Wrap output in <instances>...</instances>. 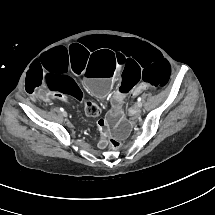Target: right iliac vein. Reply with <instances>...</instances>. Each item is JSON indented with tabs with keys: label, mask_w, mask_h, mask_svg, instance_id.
I'll return each instance as SVG.
<instances>
[{
	"label": "right iliac vein",
	"mask_w": 215,
	"mask_h": 215,
	"mask_svg": "<svg viewBox=\"0 0 215 215\" xmlns=\"http://www.w3.org/2000/svg\"><path fill=\"white\" fill-rule=\"evenodd\" d=\"M62 115H63L64 117H67V113H66L65 111L62 112Z\"/></svg>",
	"instance_id": "1"
}]
</instances>
